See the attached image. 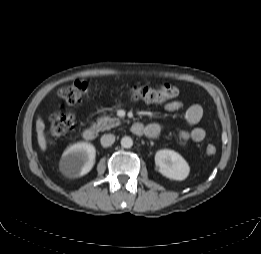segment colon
Listing matches in <instances>:
<instances>
[{
    "instance_id": "1",
    "label": "colon",
    "mask_w": 261,
    "mask_h": 254,
    "mask_svg": "<svg viewBox=\"0 0 261 254\" xmlns=\"http://www.w3.org/2000/svg\"><path fill=\"white\" fill-rule=\"evenodd\" d=\"M88 83L84 80H76L59 91V97L68 105H74L82 100L88 91ZM130 95L136 99L151 102H161L175 98L179 89L170 83H163L158 87L143 84H134L130 87ZM75 125V117L70 112L55 114L50 120L49 130L54 136H61L71 131ZM217 148L213 144H207L205 153L213 156Z\"/></svg>"
}]
</instances>
